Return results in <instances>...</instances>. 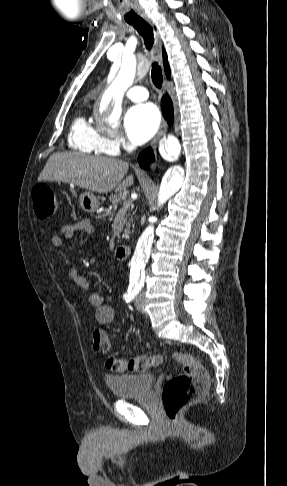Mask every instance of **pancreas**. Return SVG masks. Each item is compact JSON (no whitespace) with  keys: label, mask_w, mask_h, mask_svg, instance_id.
Wrapping results in <instances>:
<instances>
[{"label":"pancreas","mask_w":287,"mask_h":486,"mask_svg":"<svg viewBox=\"0 0 287 486\" xmlns=\"http://www.w3.org/2000/svg\"><path fill=\"white\" fill-rule=\"evenodd\" d=\"M110 202L112 203V207L115 210L118 205L123 203V207L120 209L121 213H126L127 210H130L131 207V201L126 198L125 195L119 194V195H111L109 197ZM126 202H129L127 205ZM130 234V221L126 222V228L124 230V233L122 234V238H128Z\"/></svg>","instance_id":"obj_1"}]
</instances>
